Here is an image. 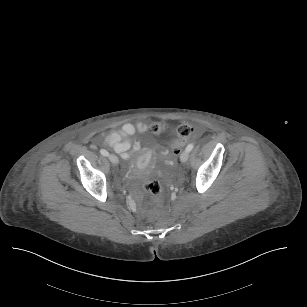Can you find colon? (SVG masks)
<instances>
[{"label":"colon","instance_id":"5ec220e1","mask_svg":"<svg viewBox=\"0 0 307 307\" xmlns=\"http://www.w3.org/2000/svg\"><path fill=\"white\" fill-rule=\"evenodd\" d=\"M148 132L150 134H158L162 132V127L158 123H154L148 129ZM193 132H194V129L189 124H182L178 127L177 136L179 138V142L173 147L172 153L174 155H178L182 152V149L180 148V146L183 145L185 140H187ZM144 188L146 191H148L149 193L153 195H158L162 191V186L160 182L155 179L147 180L144 183Z\"/></svg>","mask_w":307,"mask_h":307}]
</instances>
